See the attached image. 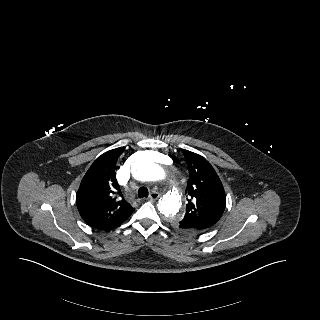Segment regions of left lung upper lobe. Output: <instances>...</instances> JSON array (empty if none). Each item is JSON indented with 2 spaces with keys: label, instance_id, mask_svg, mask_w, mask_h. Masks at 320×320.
Returning <instances> with one entry per match:
<instances>
[{
  "label": "left lung upper lobe",
  "instance_id": "5c2ea615",
  "mask_svg": "<svg viewBox=\"0 0 320 320\" xmlns=\"http://www.w3.org/2000/svg\"><path fill=\"white\" fill-rule=\"evenodd\" d=\"M189 169L185 193L188 204L183 218L176 223L188 225L199 232L218 222L222 216L226 197L223 185L211 164L202 156L183 150Z\"/></svg>",
  "mask_w": 320,
  "mask_h": 320
}]
</instances>
